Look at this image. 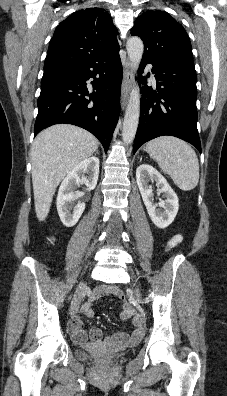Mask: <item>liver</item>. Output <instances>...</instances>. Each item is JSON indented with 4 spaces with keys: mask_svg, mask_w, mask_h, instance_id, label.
Listing matches in <instances>:
<instances>
[{
    "mask_svg": "<svg viewBox=\"0 0 227 396\" xmlns=\"http://www.w3.org/2000/svg\"><path fill=\"white\" fill-rule=\"evenodd\" d=\"M88 131L69 124L53 125L40 132L32 145V183L35 212L45 220L59 183L80 162L98 148Z\"/></svg>",
    "mask_w": 227,
    "mask_h": 396,
    "instance_id": "1",
    "label": "liver"
}]
</instances>
